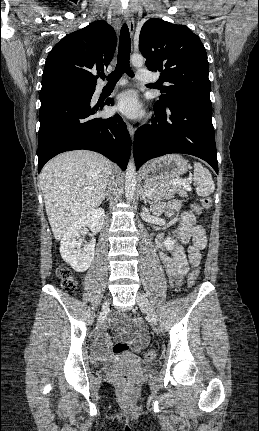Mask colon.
Returning a JSON list of instances; mask_svg holds the SVG:
<instances>
[{
	"mask_svg": "<svg viewBox=\"0 0 259 431\" xmlns=\"http://www.w3.org/2000/svg\"><path fill=\"white\" fill-rule=\"evenodd\" d=\"M201 205L197 203L191 204V209L196 211V214L203 213L204 209H209L212 206V199L210 197H204L201 199ZM57 276L61 280L62 286L66 291H74L76 289L77 283L75 279L71 276L68 268L61 266L57 269ZM199 269L196 267L192 269L188 276V283L190 287H193L198 280ZM128 350V345L125 343H116L113 347V352L120 354ZM155 357L153 350H148L144 353V359L150 361ZM121 382L124 385H130L132 383V377L129 374H122Z\"/></svg>",
	"mask_w": 259,
	"mask_h": 431,
	"instance_id": "1",
	"label": "colon"
}]
</instances>
